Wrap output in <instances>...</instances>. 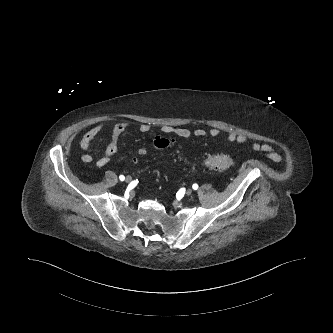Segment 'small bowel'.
Here are the masks:
<instances>
[{"instance_id": "c3829d8e", "label": "small bowel", "mask_w": 333, "mask_h": 333, "mask_svg": "<svg viewBox=\"0 0 333 333\" xmlns=\"http://www.w3.org/2000/svg\"><path fill=\"white\" fill-rule=\"evenodd\" d=\"M106 127L105 122L97 123L90 130H88L82 140H81V148L84 150V154L81 156V160L84 163H89L93 160V156L90 153V144L91 142L101 135ZM131 127L129 122H120L114 125L109 143L105 149L104 154L96 161L97 168L105 167L112 157L117 153L119 147V140L121 135ZM150 130V126L148 124H141L138 127V131L140 133H147ZM162 133L166 136H175L181 139H188L191 136L196 137H206L210 136L212 138H216L220 135V130L218 128H211L208 131L203 128H195L193 130L186 127H173V126H164L161 129ZM165 137H157L156 139H162ZM155 139V140H156ZM167 139V138H166ZM226 141L231 144H242L247 141V137L243 134H238L235 132H230L226 136ZM255 151H260L265 153L270 159L275 162H278L282 159V156L269 144H261L258 142L253 143L252 145ZM139 154H145L146 151L144 148H140L138 151Z\"/></svg>"}]
</instances>
